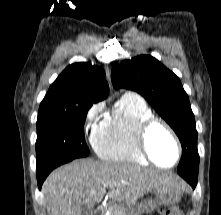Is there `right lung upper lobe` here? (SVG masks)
Here are the masks:
<instances>
[{
  "mask_svg": "<svg viewBox=\"0 0 221 215\" xmlns=\"http://www.w3.org/2000/svg\"><path fill=\"white\" fill-rule=\"evenodd\" d=\"M107 96L104 70L90 63H74L52 83L41 104H93Z\"/></svg>",
  "mask_w": 221,
  "mask_h": 215,
  "instance_id": "right-lung-upper-lobe-1",
  "label": "right lung upper lobe"
}]
</instances>
